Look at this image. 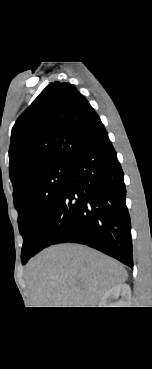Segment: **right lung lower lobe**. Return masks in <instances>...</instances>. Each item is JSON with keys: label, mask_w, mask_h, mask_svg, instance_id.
<instances>
[{"label": "right lung lower lobe", "mask_w": 152, "mask_h": 369, "mask_svg": "<svg viewBox=\"0 0 152 369\" xmlns=\"http://www.w3.org/2000/svg\"><path fill=\"white\" fill-rule=\"evenodd\" d=\"M123 176L104 131L70 161L66 184L33 255L53 244L76 242L133 268Z\"/></svg>", "instance_id": "1"}]
</instances>
